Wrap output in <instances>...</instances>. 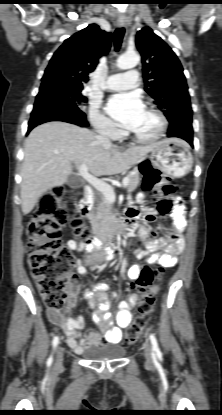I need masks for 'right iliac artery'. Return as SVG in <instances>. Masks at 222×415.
I'll list each match as a JSON object with an SVG mask.
<instances>
[{
    "label": "right iliac artery",
    "mask_w": 222,
    "mask_h": 415,
    "mask_svg": "<svg viewBox=\"0 0 222 415\" xmlns=\"http://www.w3.org/2000/svg\"><path fill=\"white\" fill-rule=\"evenodd\" d=\"M58 343H59V338L56 336L54 337L52 341V345L54 349L57 347ZM52 361H53V356L51 355L47 360V366H50L52 364Z\"/></svg>",
    "instance_id": "82829eb1"
}]
</instances>
